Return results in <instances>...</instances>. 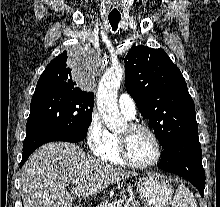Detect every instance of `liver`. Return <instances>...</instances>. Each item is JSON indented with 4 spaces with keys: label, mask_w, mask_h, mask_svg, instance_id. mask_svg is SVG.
Returning a JSON list of instances; mask_svg holds the SVG:
<instances>
[{
    "label": "liver",
    "mask_w": 220,
    "mask_h": 207,
    "mask_svg": "<svg viewBox=\"0 0 220 207\" xmlns=\"http://www.w3.org/2000/svg\"><path fill=\"white\" fill-rule=\"evenodd\" d=\"M137 173L106 164L74 144L52 142L38 148L24 164L20 177L24 207H71L66 187L79 180L77 197H92Z\"/></svg>",
    "instance_id": "6515ba94"
}]
</instances>
